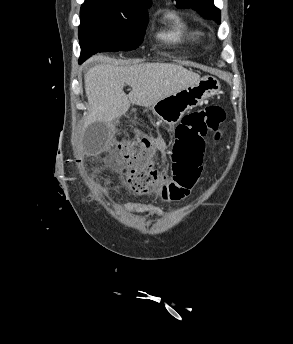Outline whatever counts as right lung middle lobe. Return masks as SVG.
Wrapping results in <instances>:
<instances>
[{
  "mask_svg": "<svg viewBox=\"0 0 293 344\" xmlns=\"http://www.w3.org/2000/svg\"><path fill=\"white\" fill-rule=\"evenodd\" d=\"M80 21L81 64L97 52L136 49L142 42L148 17L132 8L84 2Z\"/></svg>",
  "mask_w": 293,
  "mask_h": 344,
  "instance_id": "obj_1",
  "label": "right lung middle lobe"
}]
</instances>
